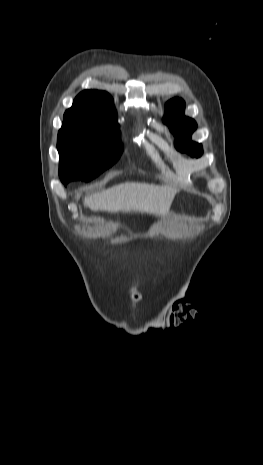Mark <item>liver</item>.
I'll return each instance as SVG.
<instances>
[{"label":"liver","instance_id":"1","mask_svg":"<svg viewBox=\"0 0 263 465\" xmlns=\"http://www.w3.org/2000/svg\"><path fill=\"white\" fill-rule=\"evenodd\" d=\"M178 192L169 186L141 182H125L84 198V206L92 211L140 212L165 216Z\"/></svg>","mask_w":263,"mask_h":465}]
</instances>
